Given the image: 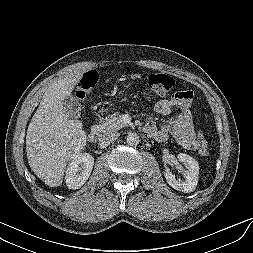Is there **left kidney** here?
Listing matches in <instances>:
<instances>
[{"label": "left kidney", "mask_w": 253, "mask_h": 253, "mask_svg": "<svg viewBox=\"0 0 253 253\" xmlns=\"http://www.w3.org/2000/svg\"><path fill=\"white\" fill-rule=\"evenodd\" d=\"M178 161L183 163L187 170H183L185 180L176 179L175 175L172 174L168 169L165 170L164 176L167 183L174 189L186 193H190L195 190L198 179H199V164L191 156L179 153L177 155Z\"/></svg>", "instance_id": "left-kidney-1"}]
</instances>
